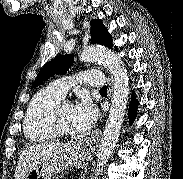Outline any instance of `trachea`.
Segmentation results:
<instances>
[{"mask_svg":"<svg viewBox=\"0 0 183 179\" xmlns=\"http://www.w3.org/2000/svg\"><path fill=\"white\" fill-rule=\"evenodd\" d=\"M101 91H107V87H106V86H103V87L101 88Z\"/></svg>","mask_w":183,"mask_h":179,"instance_id":"obj_1","label":"trachea"}]
</instances>
